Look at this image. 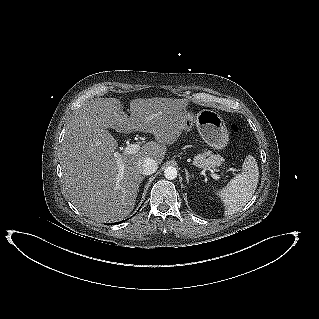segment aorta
<instances>
[{
	"instance_id": "1",
	"label": "aorta",
	"mask_w": 319,
	"mask_h": 319,
	"mask_svg": "<svg viewBox=\"0 0 319 319\" xmlns=\"http://www.w3.org/2000/svg\"><path fill=\"white\" fill-rule=\"evenodd\" d=\"M164 176L168 180H174L177 177V169L173 166H168L164 170Z\"/></svg>"
}]
</instances>
